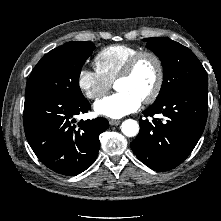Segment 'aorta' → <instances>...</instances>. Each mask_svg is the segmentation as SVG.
Segmentation results:
<instances>
[{"mask_svg":"<svg viewBox=\"0 0 221 221\" xmlns=\"http://www.w3.org/2000/svg\"><path fill=\"white\" fill-rule=\"evenodd\" d=\"M121 131L127 137H134L139 133V124L133 119H127L122 122Z\"/></svg>","mask_w":221,"mask_h":221,"instance_id":"1","label":"aorta"}]
</instances>
